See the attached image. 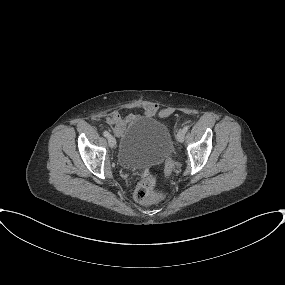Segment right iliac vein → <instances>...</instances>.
Listing matches in <instances>:
<instances>
[{
	"label": "right iliac vein",
	"mask_w": 285,
	"mask_h": 285,
	"mask_svg": "<svg viewBox=\"0 0 285 285\" xmlns=\"http://www.w3.org/2000/svg\"><path fill=\"white\" fill-rule=\"evenodd\" d=\"M108 143L111 148H114L116 146V139L113 136H109Z\"/></svg>",
	"instance_id": "63e3f726"
}]
</instances>
